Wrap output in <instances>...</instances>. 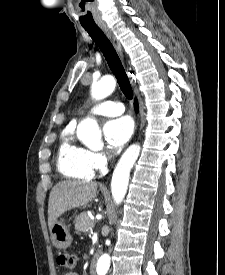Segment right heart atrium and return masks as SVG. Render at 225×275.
I'll return each instance as SVG.
<instances>
[{
	"mask_svg": "<svg viewBox=\"0 0 225 275\" xmlns=\"http://www.w3.org/2000/svg\"><path fill=\"white\" fill-rule=\"evenodd\" d=\"M87 156H88L89 163L94 170H102L107 165L108 158L102 152L88 150Z\"/></svg>",
	"mask_w": 225,
	"mask_h": 275,
	"instance_id": "right-heart-atrium-1",
	"label": "right heart atrium"
}]
</instances>
